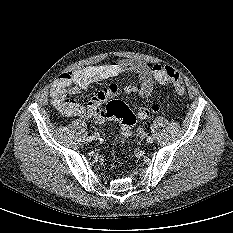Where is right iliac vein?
I'll use <instances>...</instances> for the list:
<instances>
[{
    "label": "right iliac vein",
    "instance_id": "63e3f726",
    "mask_svg": "<svg viewBox=\"0 0 233 233\" xmlns=\"http://www.w3.org/2000/svg\"><path fill=\"white\" fill-rule=\"evenodd\" d=\"M99 139V134H94L93 135V140H98Z\"/></svg>",
    "mask_w": 233,
    "mask_h": 233
}]
</instances>
